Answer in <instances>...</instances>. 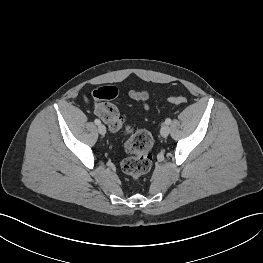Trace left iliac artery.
<instances>
[{
    "label": "left iliac artery",
    "mask_w": 263,
    "mask_h": 263,
    "mask_svg": "<svg viewBox=\"0 0 263 263\" xmlns=\"http://www.w3.org/2000/svg\"><path fill=\"white\" fill-rule=\"evenodd\" d=\"M165 123H166V124H170V123H171V119H170V118H167V119L165 120Z\"/></svg>",
    "instance_id": "left-iliac-artery-1"
}]
</instances>
